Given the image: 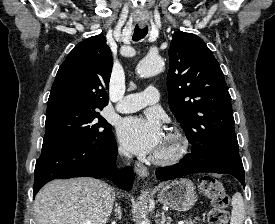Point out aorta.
Masks as SVG:
<instances>
[{"mask_svg":"<svg viewBox=\"0 0 275 224\" xmlns=\"http://www.w3.org/2000/svg\"><path fill=\"white\" fill-rule=\"evenodd\" d=\"M164 60L160 56H147L137 65V72L142 77H149L162 71ZM147 206L144 205L141 210L142 221L139 224H150L147 219Z\"/></svg>","mask_w":275,"mask_h":224,"instance_id":"762f6f07","label":"aorta"}]
</instances>
